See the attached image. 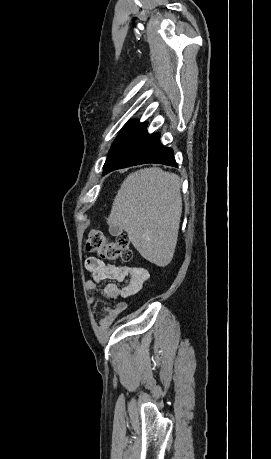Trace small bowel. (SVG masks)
Instances as JSON below:
<instances>
[{
	"instance_id": "obj_1",
	"label": "small bowel",
	"mask_w": 271,
	"mask_h": 459,
	"mask_svg": "<svg viewBox=\"0 0 271 459\" xmlns=\"http://www.w3.org/2000/svg\"><path fill=\"white\" fill-rule=\"evenodd\" d=\"M85 268L90 274L86 288L92 293L91 303L95 301L97 294L107 299L127 298L138 293L149 280V273L144 268L106 264L95 257H89L86 260ZM105 280L113 282L107 283L100 289L99 284ZM115 282H126V284L119 286ZM126 309L125 302H118L114 307H106L99 322V329L105 330L109 328Z\"/></svg>"
}]
</instances>
